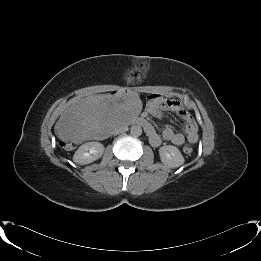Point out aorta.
<instances>
[{"mask_svg": "<svg viewBox=\"0 0 261 261\" xmlns=\"http://www.w3.org/2000/svg\"><path fill=\"white\" fill-rule=\"evenodd\" d=\"M130 133L132 136L138 137L142 134V128L139 125H133L130 129Z\"/></svg>", "mask_w": 261, "mask_h": 261, "instance_id": "aorta-1", "label": "aorta"}]
</instances>
